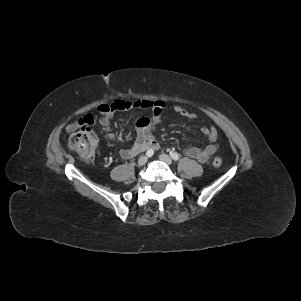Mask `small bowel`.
Masks as SVG:
<instances>
[{
  "label": "small bowel",
  "mask_w": 301,
  "mask_h": 301,
  "mask_svg": "<svg viewBox=\"0 0 301 301\" xmlns=\"http://www.w3.org/2000/svg\"><path fill=\"white\" fill-rule=\"evenodd\" d=\"M165 108V102L161 100L152 101V100H125V99H117L110 104L101 105L98 108L101 117L98 120L99 125L107 129L110 124L112 117L117 111H128L132 109H149L151 110L152 116L146 117L142 116L137 119L135 123L136 130V139L133 145L129 148H124L120 151V156L123 159H130L137 155L138 153L145 150H158L159 143L152 135V128L156 126L160 120L163 109ZM174 111L186 118L192 119L195 117L193 112L185 109L182 106H175ZM95 123V119L92 115L87 114L78 121L71 123L67 126L66 130L68 132L75 131L79 128H84L87 126H91ZM201 132L205 135L209 141V144L204 148L200 147H188L185 149L184 153L190 158L196 159L197 161L204 163L209 160V158L214 155L218 149L216 144L218 139V134L215 128L203 127L201 128ZM105 137L109 140L114 139V135L112 133L106 132Z\"/></svg>",
  "instance_id": "c3829d8e"
}]
</instances>
